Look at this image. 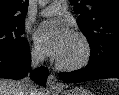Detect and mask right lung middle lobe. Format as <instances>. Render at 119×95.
Instances as JSON below:
<instances>
[{"label": "right lung middle lobe", "mask_w": 119, "mask_h": 95, "mask_svg": "<svg viewBox=\"0 0 119 95\" xmlns=\"http://www.w3.org/2000/svg\"><path fill=\"white\" fill-rule=\"evenodd\" d=\"M24 21L0 25V49L20 48L27 42L24 33Z\"/></svg>", "instance_id": "dd1d6c3e"}]
</instances>
